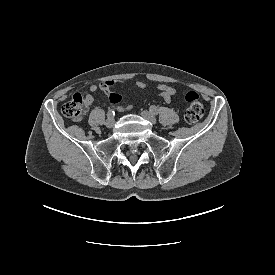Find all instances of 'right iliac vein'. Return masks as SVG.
I'll list each match as a JSON object with an SVG mask.
<instances>
[{"instance_id": "63e3f726", "label": "right iliac vein", "mask_w": 275, "mask_h": 275, "mask_svg": "<svg viewBox=\"0 0 275 275\" xmlns=\"http://www.w3.org/2000/svg\"><path fill=\"white\" fill-rule=\"evenodd\" d=\"M115 124V119L113 117H108V119L105 122V125L107 128H112Z\"/></svg>"}]
</instances>
